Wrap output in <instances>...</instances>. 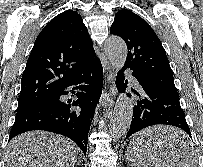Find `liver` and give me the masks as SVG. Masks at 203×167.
Listing matches in <instances>:
<instances>
[{
    "mask_svg": "<svg viewBox=\"0 0 203 167\" xmlns=\"http://www.w3.org/2000/svg\"><path fill=\"white\" fill-rule=\"evenodd\" d=\"M187 142V135L181 130L155 126L138 133L132 144L155 151L162 163L180 167L189 160L191 152L178 148V143ZM156 145L157 149L151 145ZM76 145L63 136L45 131H31L12 139L6 149V167H74L77 162Z\"/></svg>",
    "mask_w": 203,
    "mask_h": 167,
    "instance_id": "1",
    "label": "liver"
}]
</instances>
